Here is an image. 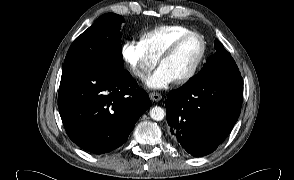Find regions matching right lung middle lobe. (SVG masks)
<instances>
[{"label": "right lung middle lobe", "instance_id": "1", "mask_svg": "<svg viewBox=\"0 0 294 180\" xmlns=\"http://www.w3.org/2000/svg\"><path fill=\"white\" fill-rule=\"evenodd\" d=\"M114 13L104 14L70 46L62 75L81 68H103L124 71L121 51V23Z\"/></svg>", "mask_w": 294, "mask_h": 180}]
</instances>
